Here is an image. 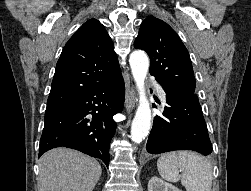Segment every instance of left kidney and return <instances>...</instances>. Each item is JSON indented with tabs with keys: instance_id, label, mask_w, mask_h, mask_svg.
I'll return each mask as SVG.
<instances>
[{
	"instance_id": "obj_1",
	"label": "left kidney",
	"mask_w": 251,
	"mask_h": 191,
	"mask_svg": "<svg viewBox=\"0 0 251 191\" xmlns=\"http://www.w3.org/2000/svg\"><path fill=\"white\" fill-rule=\"evenodd\" d=\"M148 191H181L172 183H168V181H164V179H160V177H156L153 175L151 179L148 181Z\"/></svg>"
}]
</instances>
